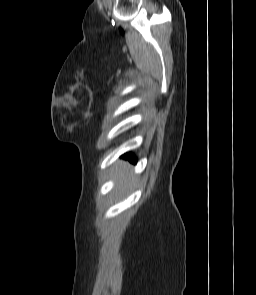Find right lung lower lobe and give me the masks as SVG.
<instances>
[{
	"label": "right lung lower lobe",
	"mask_w": 256,
	"mask_h": 295,
	"mask_svg": "<svg viewBox=\"0 0 256 295\" xmlns=\"http://www.w3.org/2000/svg\"><path fill=\"white\" fill-rule=\"evenodd\" d=\"M124 156L127 157V158H129V159H131V160H133L134 162H136V158L132 154L127 153Z\"/></svg>",
	"instance_id": "1"
}]
</instances>
